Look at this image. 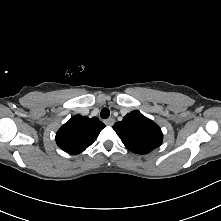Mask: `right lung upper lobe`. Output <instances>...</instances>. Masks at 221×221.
Masks as SVG:
<instances>
[{
  "label": "right lung upper lobe",
  "mask_w": 221,
  "mask_h": 221,
  "mask_svg": "<svg viewBox=\"0 0 221 221\" xmlns=\"http://www.w3.org/2000/svg\"><path fill=\"white\" fill-rule=\"evenodd\" d=\"M104 127L97 117L75 115L58 130L56 143L69 154H79L95 141Z\"/></svg>",
  "instance_id": "1"
}]
</instances>
